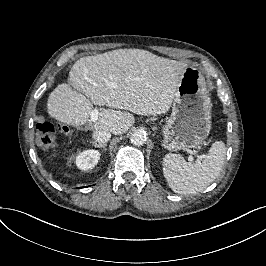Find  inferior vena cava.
Segmentation results:
<instances>
[{
  "mask_svg": "<svg viewBox=\"0 0 266 266\" xmlns=\"http://www.w3.org/2000/svg\"><path fill=\"white\" fill-rule=\"evenodd\" d=\"M92 136L97 142L106 143L110 140L111 133L108 130H95Z\"/></svg>",
  "mask_w": 266,
  "mask_h": 266,
  "instance_id": "602c4592",
  "label": "inferior vena cava"
}]
</instances>
